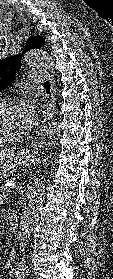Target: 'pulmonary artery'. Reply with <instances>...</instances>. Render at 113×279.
I'll use <instances>...</instances> for the list:
<instances>
[{"mask_svg":"<svg viewBox=\"0 0 113 279\" xmlns=\"http://www.w3.org/2000/svg\"><path fill=\"white\" fill-rule=\"evenodd\" d=\"M29 78L31 84H38L40 82H44L47 79L45 74L37 72L29 75Z\"/></svg>","mask_w":113,"mask_h":279,"instance_id":"obj_1","label":"pulmonary artery"}]
</instances>
